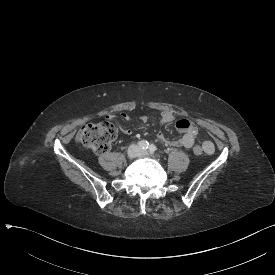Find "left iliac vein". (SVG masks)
Instances as JSON below:
<instances>
[{"label": "left iliac vein", "instance_id": "4c4485c4", "mask_svg": "<svg viewBox=\"0 0 275 275\" xmlns=\"http://www.w3.org/2000/svg\"><path fill=\"white\" fill-rule=\"evenodd\" d=\"M140 155H141L142 157H143V156H147V155H148V151L141 150Z\"/></svg>", "mask_w": 275, "mask_h": 275}]
</instances>
